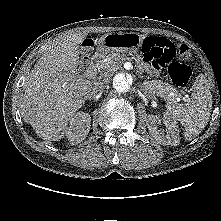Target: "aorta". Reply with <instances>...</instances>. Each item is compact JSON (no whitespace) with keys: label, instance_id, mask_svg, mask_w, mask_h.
I'll return each instance as SVG.
<instances>
[{"label":"aorta","instance_id":"762f6f07","mask_svg":"<svg viewBox=\"0 0 221 221\" xmlns=\"http://www.w3.org/2000/svg\"><path fill=\"white\" fill-rule=\"evenodd\" d=\"M131 84V79L124 73H118L113 78V88L119 93L128 92Z\"/></svg>","mask_w":221,"mask_h":221}]
</instances>
